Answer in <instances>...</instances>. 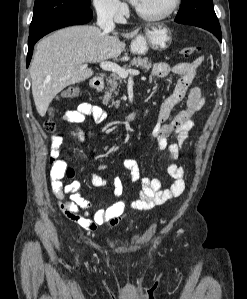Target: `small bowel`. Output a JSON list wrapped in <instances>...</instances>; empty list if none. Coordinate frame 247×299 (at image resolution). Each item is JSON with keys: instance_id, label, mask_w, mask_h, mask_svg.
I'll use <instances>...</instances> for the list:
<instances>
[{"instance_id": "c3829d8e", "label": "small bowel", "mask_w": 247, "mask_h": 299, "mask_svg": "<svg viewBox=\"0 0 247 299\" xmlns=\"http://www.w3.org/2000/svg\"><path fill=\"white\" fill-rule=\"evenodd\" d=\"M203 60V57H198L193 61L180 62L172 66L166 62H158L152 69V78L163 79L170 73L179 76L174 90L159 109L157 123L152 131L158 147L161 150L168 149L170 151L172 162L168 165L167 172L174 181L170 186L164 187L158 178L141 177L137 162L133 159H125L122 166L129 173L131 181L141 184L138 198L130 204L134 210L143 211L155 205L164 204L172 198L180 196L185 189V170L176 161L179 158L181 147L193 127V117L205 102L201 89L193 85V80ZM184 98H186V108L174 119L169 120L174 107ZM88 116L97 122H102L106 119L107 114L96 104L82 102L75 109L67 111L62 119L68 123L80 125ZM172 134L176 135V142L169 144L168 137ZM74 136L80 143L85 141V133L80 127L76 128ZM61 146L62 137L55 136L51 149L53 157L60 155ZM65 168L66 162L62 159H58L54 163L51 184L53 194L64 215L89 232L95 231L101 225L116 226L126 209V202L121 199L123 192L121 179L116 178L113 182L114 193L118 199L111 205L92 212V203L81 195V185L78 181H72L66 185L60 181ZM90 181L94 187L98 188L105 187L108 183L105 178L95 174L90 176ZM68 195L69 198H67Z\"/></svg>"}]
</instances>
